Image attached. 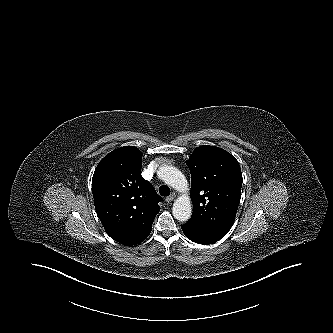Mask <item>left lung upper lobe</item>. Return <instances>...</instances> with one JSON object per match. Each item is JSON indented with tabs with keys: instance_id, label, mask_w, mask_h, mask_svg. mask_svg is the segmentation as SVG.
<instances>
[{
	"instance_id": "obj_1",
	"label": "left lung upper lobe",
	"mask_w": 333,
	"mask_h": 333,
	"mask_svg": "<svg viewBox=\"0 0 333 333\" xmlns=\"http://www.w3.org/2000/svg\"><path fill=\"white\" fill-rule=\"evenodd\" d=\"M186 164L191 172L193 203L188 223L224 237L235 221L241 198L238 161L224 149L200 146Z\"/></svg>"
}]
</instances>
